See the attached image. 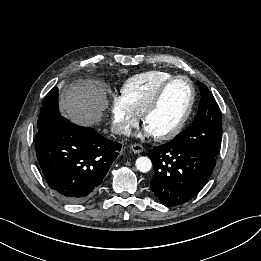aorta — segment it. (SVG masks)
<instances>
[{
  "instance_id": "1",
  "label": "aorta",
  "mask_w": 261,
  "mask_h": 261,
  "mask_svg": "<svg viewBox=\"0 0 261 261\" xmlns=\"http://www.w3.org/2000/svg\"><path fill=\"white\" fill-rule=\"evenodd\" d=\"M135 165L137 170L143 173L150 171L152 168L151 160L148 157L143 156L136 159Z\"/></svg>"
}]
</instances>
